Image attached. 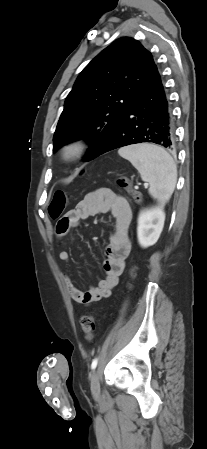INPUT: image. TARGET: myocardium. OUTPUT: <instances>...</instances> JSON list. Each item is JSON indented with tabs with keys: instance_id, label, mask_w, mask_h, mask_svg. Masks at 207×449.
<instances>
[{
	"instance_id": "1",
	"label": "myocardium",
	"mask_w": 207,
	"mask_h": 449,
	"mask_svg": "<svg viewBox=\"0 0 207 449\" xmlns=\"http://www.w3.org/2000/svg\"><path fill=\"white\" fill-rule=\"evenodd\" d=\"M88 144L83 139H75L66 143L61 149V158L70 162L80 158L87 150Z\"/></svg>"
}]
</instances>
